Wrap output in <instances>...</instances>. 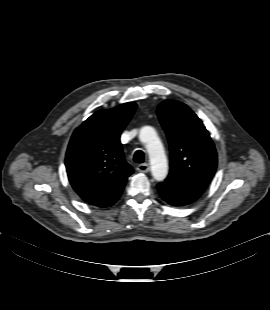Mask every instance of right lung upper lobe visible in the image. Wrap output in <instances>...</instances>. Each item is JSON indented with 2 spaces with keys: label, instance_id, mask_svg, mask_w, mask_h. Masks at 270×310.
Listing matches in <instances>:
<instances>
[{
  "label": "right lung upper lobe",
  "instance_id": "1",
  "mask_svg": "<svg viewBox=\"0 0 270 310\" xmlns=\"http://www.w3.org/2000/svg\"><path fill=\"white\" fill-rule=\"evenodd\" d=\"M137 105L125 103L99 110L74 131L65 165L75 192L87 203L99 205L123 190L133 173L126 163L120 135Z\"/></svg>",
  "mask_w": 270,
  "mask_h": 310
}]
</instances>
